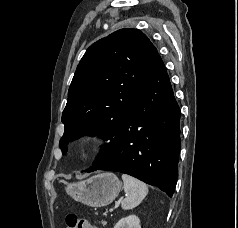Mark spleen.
Listing matches in <instances>:
<instances>
[{
	"mask_svg": "<svg viewBox=\"0 0 238 228\" xmlns=\"http://www.w3.org/2000/svg\"><path fill=\"white\" fill-rule=\"evenodd\" d=\"M124 183L125 198L121 202L124 210L137 207L148 194V187L142 181L127 174L122 175Z\"/></svg>",
	"mask_w": 238,
	"mask_h": 228,
	"instance_id": "obj_1",
	"label": "spleen"
}]
</instances>
